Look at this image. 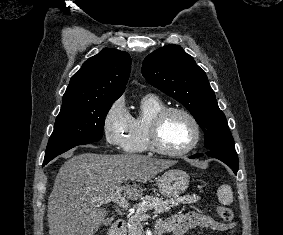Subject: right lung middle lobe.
Returning a JSON list of instances; mask_svg holds the SVG:
<instances>
[{"instance_id":"right-lung-middle-lobe-1","label":"right lung middle lobe","mask_w":283,"mask_h":235,"mask_svg":"<svg viewBox=\"0 0 283 235\" xmlns=\"http://www.w3.org/2000/svg\"><path fill=\"white\" fill-rule=\"evenodd\" d=\"M114 101H69L62 103L45 152L44 162L77 146L99 141L105 117Z\"/></svg>"}]
</instances>
